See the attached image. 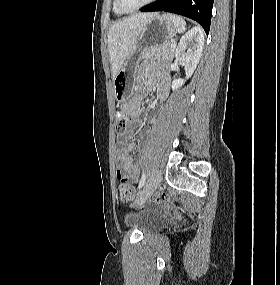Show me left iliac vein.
Masks as SVG:
<instances>
[{
    "label": "left iliac vein",
    "instance_id": "left-iliac-vein-1",
    "mask_svg": "<svg viewBox=\"0 0 280 285\" xmlns=\"http://www.w3.org/2000/svg\"><path fill=\"white\" fill-rule=\"evenodd\" d=\"M162 174L160 170H154L147 180L140 197L137 201V206H142L146 200L154 193L161 182Z\"/></svg>",
    "mask_w": 280,
    "mask_h": 285
}]
</instances>
